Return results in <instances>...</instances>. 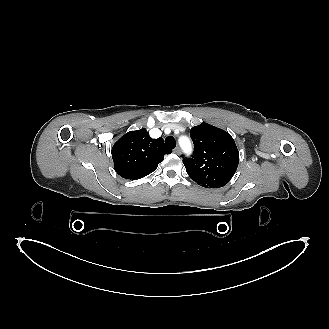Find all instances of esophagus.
<instances>
[{"mask_svg": "<svg viewBox=\"0 0 329 329\" xmlns=\"http://www.w3.org/2000/svg\"><path fill=\"white\" fill-rule=\"evenodd\" d=\"M173 152L177 155H180L181 151H180V148L179 147H176Z\"/></svg>", "mask_w": 329, "mask_h": 329, "instance_id": "esophagus-1", "label": "esophagus"}]
</instances>
